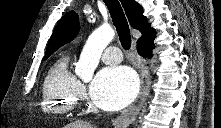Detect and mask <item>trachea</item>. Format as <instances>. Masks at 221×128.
Returning <instances> with one entry per match:
<instances>
[{"label":"trachea","mask_w":221,"mask_h":128,"mask_svg":"<svg viewBox=\"0 0 221 128\" xmlns=\"http://www.w3.org/2000/svg\"><path fill=\"white\" fill-rule=\"evenodd\" d=\"M104 2L111 14L121 45L124 49L128 50L131 46V35L123 9L118 0H104Z\"/></svg>","instance_id":"1"}]
</instances>
